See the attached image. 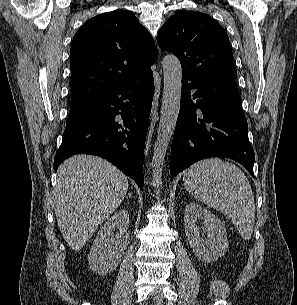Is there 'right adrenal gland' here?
<instances>
[{"instance_id":"right-adrenal-gland-1","label":"right adrenal gland","mask_w":297,"mask_h":305,"mask_svg":"<svg viewBox=\"0 0 297 305\" xmlns=\"http://www.w3.org/2000/svg\"><path fill=\"white\" fill-rule=\"evenodd\" d=\"M129 196H132V194H131V193H129Z\"/></svg>"}]
</instances>
